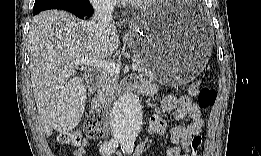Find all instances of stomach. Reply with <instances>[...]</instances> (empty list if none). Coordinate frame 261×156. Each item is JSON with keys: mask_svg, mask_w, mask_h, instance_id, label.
Masks as SVG:
<instances>
[{"mask_svg": "<svg viewBox=\"0 0 261 156\" xmlns=\"http://www.w3.org/2000/svg\"><path fill=\"white\" fill-rule=\"evenodd\" d=\"M187 6L186 2H156L130 21L134 49L145 55L154 76L163 83L191 81L211 53L209 31L186 17Z\"/></svg>", "mask_w": 261, "mask_h": 156, "instance_id": "obj_1", "label": "stomach"}]
</instances>
